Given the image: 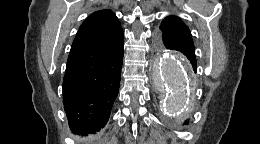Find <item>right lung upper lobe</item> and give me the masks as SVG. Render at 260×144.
<instances>
[{
    "label": "right lung upper lobe",
    "mask_w": 260,
    "mask_h": 144,
    "mask_svg": "<svg viewBox=\"0 0 260 144\" xmlns=\"http://www.w3.org/2000/svg\"><path fill=\"white\" fill-rule=\"evenodd\" d=\"M122 35L116 15L109 9L99 10L88 16L80 26L71 50L114 41Z\"/></svg>",
    "instance_id": "right-lung-upper-lobe-1"
}]
</instances>
